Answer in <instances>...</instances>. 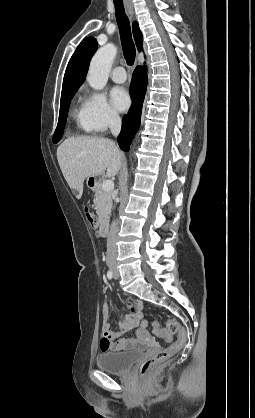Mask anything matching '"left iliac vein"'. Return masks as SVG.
I'll list each match as a JSON object with an SVG mask.
<instances>
[{"label": "left iliac vein", "mask_w": 255, "mask_h": 418, "mask_svg": "<svg viewBox=\"0 0 255 418\" xmlns=\"http://www.w3.org/2000/svg\"><path fill=\"white\" fill-rule=\"evenodd\" d=\"M114 278H115V279H118V278H119V273H118V271H117V270H115V271H114Z\"/></svg>", "instance_id": "left-iliac-vein-1"}]
</instances>
